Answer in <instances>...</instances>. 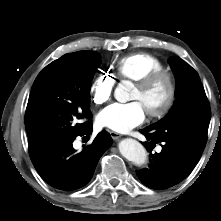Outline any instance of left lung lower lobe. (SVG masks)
<instances>
[{"mask_svg":"<svg viewBox=\"0 0 221 221\" xmlns=\"http://www.w3.org/2000/svg\"><path fill=\"white\" fill-rule=\"evenodd\" d=\"M141 133L150 141L142 144L149 152L151 146L161 143L160 153H150V164L147 168L137 170L139 179L151 189H167L185 179L196 166L204 149L179 140H156L148 127Z\"/></svg>","mask_w":221,"mask_h":221,"instance_id":"obj_1","label":"left lung lower lobe"}]
</instances>
